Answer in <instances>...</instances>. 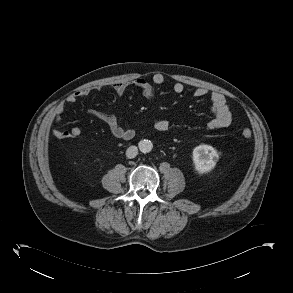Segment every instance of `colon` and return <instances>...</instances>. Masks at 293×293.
Instances as JSON below:
<instances>
[{
  "label": "colon",
  "mask_w": 293,
  "mask_h": 293,
  "mask_svg": "<svg viewBox=\"0 0 293 293\" xmlns=\"http://www.w3.org/2000/svg\"><path fill=\"white\" fill-rule=\"evenodd\" d=\"M242 136H243L244 139H247L248 140V139L251 138L252 133H251V131L249 129H244L242 131Z\"/></svg>",
  "instance_id": "5ec220e1"
}]
</instances>
